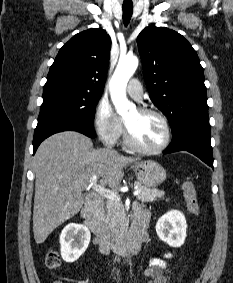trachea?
<instances>
[{"mask_svg": "<svg viewBox=\"0 0 233 283\" xmlns=\"http://www.w3.org/2000/svg\"><path fill=\"white\" fill-rule=\"evenodd\" d=\"M123 23L127 26L130 22L132 13H133V6H123Z\"/></svg>", "mask_w": 233, "mask_h": 283, "instance_id": "1", "label": "trachea"}]
</instances>
